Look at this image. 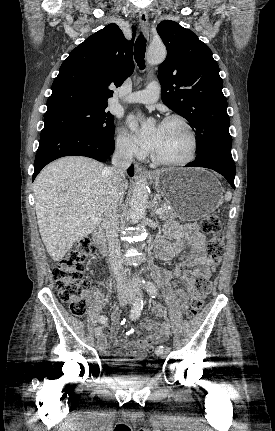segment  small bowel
I'll use <instances>...</instances> for the list:
<instances>
[{"instance_id": "obj_1", "label": "small bowel", "mask_w": 275, "mask_h": 431, "mask_svg": "<svg viewBox=\"0 0 275 431\" xmlns=\"http://www.w3.org/2000/svg\"><path fill=\"white\" fill-rule=\"evenodd\" d=\"M165 232L173 239V242L164 239L159 240L156 243V254L163 261H171L184 253L183 260L178 263L174 270L166 272V276L180 279L185 283V289H177L174 292L178 300V309L185 310L189 297L195 293L196 279L202 275L210 277L215 270L214 261L206 253V237L196 224H179L169 221L165 226ZM153 313L157 317H164L166 313L165 307L156 305ZM119 328V313L116 312L113 314L112 323L98 340L99 350L104 356L110 355V341H118ZM169 337L170 328L165 322L146 319L136 339L125 343V347L129 351V358H136L147 347L163 343ZM116 356L122 357V353L118 352Z\"/></svg>"}]
</instances>
